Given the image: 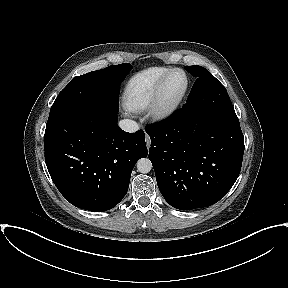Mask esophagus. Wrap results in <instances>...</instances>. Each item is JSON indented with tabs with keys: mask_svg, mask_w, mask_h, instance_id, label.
Here are the masks:
<instances>
[{
	"mask_svg": "<svg viewBox=\"0 0 288 288\" xmlns=\"http://www.w3.org/2000/svg\"><path fill=\"white\" fill-rule=\"evenodd\" d=\"M145 141H146V145H147V147L149 148L150 147V144H151V139H150V137L146 134V136H145Z\"/></svg>",
	"mask_w": 288,
	"mask_h": 288,
	"instance_id": "1",
	"label": "esophagus"
}]
</instances>
